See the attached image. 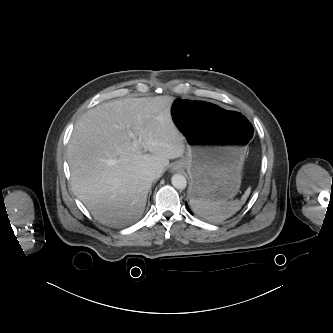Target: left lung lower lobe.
<instances>
[{"mask_svg":"<svg viewBox=\"0 0 333 333\" xmlns=\"http://www.w3.org/2000/svg\"><path fill=\"white\" fill-rule=\"evenodd\" d=\"M186 207H187V209H188V211L192 214V212H191V210L189 209V207L186 205Z\"/></svg>","mask_w":333,"mask_h":333,"instance_id":"1","label":"left lung lower lobe"}]
</instances>
